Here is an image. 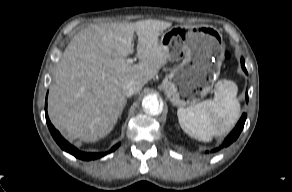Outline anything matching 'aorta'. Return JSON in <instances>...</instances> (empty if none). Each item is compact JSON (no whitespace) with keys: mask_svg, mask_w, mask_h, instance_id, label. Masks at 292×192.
I'll return each mask as SVG.
<instances>
[{"mask_svg":"<svg viewBox=\"0 0 292 192\" xmlns=\"http://www.w3.org/2000/svg\"><path fill=\"white\" fill-rule=\"evenodd\" d=\"M142 107L145 112L151 115H158L162 112L160 100L155 95H147L142 100Z\"/></svg>","mask_w":292,"mask_h":192,"instance_id":"aorta-1","label":"aorta"}]
</instances>
